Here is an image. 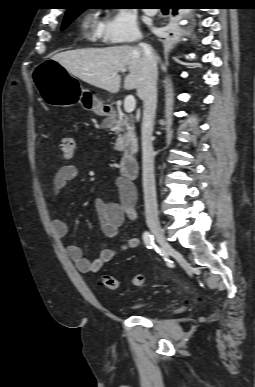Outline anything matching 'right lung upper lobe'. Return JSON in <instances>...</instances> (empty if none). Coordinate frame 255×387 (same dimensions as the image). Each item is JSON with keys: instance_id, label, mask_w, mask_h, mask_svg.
Returning <instances> with one entry per match:
<instances>
[{"instance_id": "right-lung-upper-lobe-1", "label": "right lung upper lobe", "mask_w": 255, "mask_h": 387, "mask_svg": "<svg viewBox=\"0 0 255 387\" xmlns=\"http://www.w3.org/2000/svg\"><path fill=\"white\" fill-rule=\"evenodd\" d=\"M74 8H77V7H71V8H68L67 12L74 9ZM80 10H83L82 8H80Z\"/></svg>"}]
</instances>
